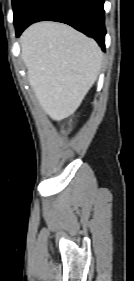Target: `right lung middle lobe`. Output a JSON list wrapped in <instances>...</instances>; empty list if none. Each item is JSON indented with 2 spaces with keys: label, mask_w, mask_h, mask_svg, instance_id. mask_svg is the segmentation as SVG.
Masks as SVG:
<instances>
[{
  "label": "right lung middle lobe",
  "mask_w": 134,
  "mask_h": 281,
  "mask_svg": "<svg viewBox=\"0 0 134 281\" xmlns=\"http://www.w3.org/2000/svg\"><path fill=\"white\" fill-rule=\"evenodd\" d=\"M32 0H12L15 28L21 24L23 17Z\"/></svg>",
  "instance_id": "obj_1"
}]
</instances>
